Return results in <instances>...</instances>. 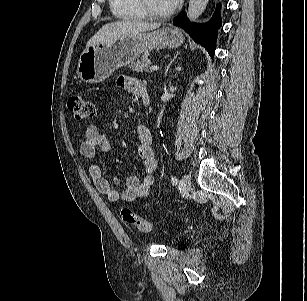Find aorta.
Returning a JSON list of instances; mask_svg holds the SVG:
<instances>
[{"mask_svg": "<svg viewBox=\"0 0 307 301\" xmlns=\"http://www.w3.org/2000/svg\"><path fill=\"white\" fill-rule=\"evenodd\" d=\"M209 0H189L188 5V18L191 21H195L205 10Z\"/></svg>", "mask_w": 307, "mask_h": 301, "instance_id": "aorta-1", "label": "aorta"}]
</instances>
